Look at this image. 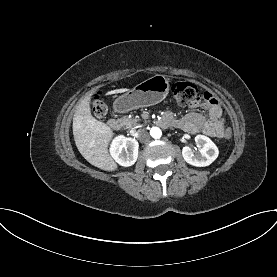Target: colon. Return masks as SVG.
I'll use <instances>...</instances> for the list:
<instances>
[{
  "label": "colon",
  "instance_id": "1",
  "mask_svg": "<svg viewBox=\"0 0 277 277\" xmlns=\"http://www.w3.org/2000/svg\"><path fill=\"white\" fill-rule=\"evenodd\" d=\"M171 93L174 100L181 105L192 103L199 99L197 87L186 81H174L171 85ZM92 111L96 118L103 119L108 112L107 105L100 100L95 98L92 102ZM234 134L233 129L225 128L223 130V138L230 140Z\"/></svg>",
  "mask_w": 277,
  "mask_h": 277
}]
</instances>
